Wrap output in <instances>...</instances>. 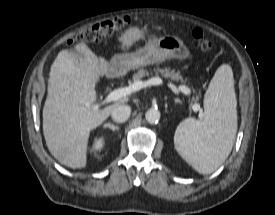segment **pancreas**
<instances>
[{
    "mask_svg": "<svg viewBox=\"0 0 275 215\" xmlns=\"http://www.w3.org/2000/svg\"><path fill=\"white\" fill-rule=\"evenodd\" d=\"M154 73L155 75L160 74L165 79H170L177 82L180 81L181 83L186 82V80L183 79V77L181 76L180 72H176L175 70H170L169 68H164V69L157 68V69H154ZM150 74H152V72L149 73L147 70L140 69L136 74L133 75V81L134 82L141 81L143 77L149 76Z\"/></svg>",
    "mask_w": 275,
    "mask_h": 215,
    "instance_id": "1",
    "label": "pancreas"
}]
</instances>
